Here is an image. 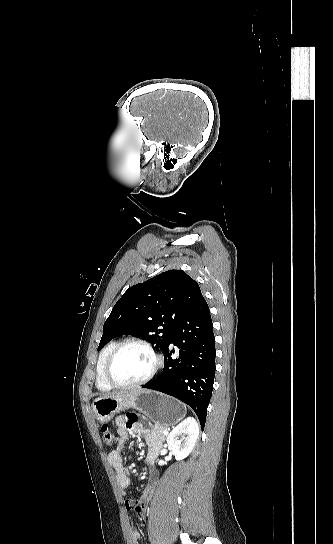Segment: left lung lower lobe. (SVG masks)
<instances>
[{
    "label": "left lung lower lobe",
    "instance_id": "obj_1",
    "mask_svg": "<svg viewBox=\"0 0 333 544\" xmlns=\"http://www.w3.org/2000/svg\"><path fill=\"white\" fill-rule=\"evenodd\" d=\"M172 344L179 349V358L172 359ZM163 354V371L142 387L163 392L188 404L197 414L203 429L213 390L216 355L212 320L203 296L177 323Z\"/></svg>",
    "mask_w": 333,
    "mask_h": 544
}]
</instances>
